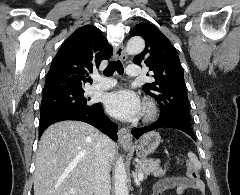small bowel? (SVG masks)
Returning <instances> with one entry per match:
<instances>
[{"label":"small bowel","instance_id":"c3829d8e","mask_svg":"<svg viewBox=\"0 0 240 195\" xmlns=\"http://www.w3.org/2000/svg\"><path fill=\"white\" fill-rule=\"evenodd\" d=\"M191 190L205 195V186H195L189 177H170L159 181L154 186L152 195H183Z\"/></svg>","mask_w":240,"mask_h":195}]
</instances>
